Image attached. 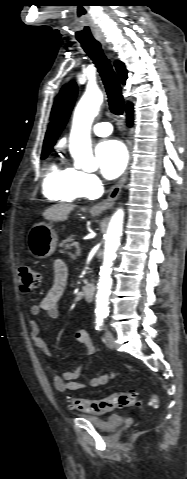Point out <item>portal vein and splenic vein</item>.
Here are the masks:
<instances>
[{
    "instance_id": "18ae733b",
    "label": "portal vein and splenic vein",
    "mask_w": 187,
    "mask_h": 479,
    "mask_svg": "<svg viewBox=\"0 0 187 479\" xmlns=\"http://www.w3.org/2000/svg\"><path fill=\"white\" fill-rule=\"evenodd\" d=\"M75 247H76V249H77L76 255H77V256H80V247H79V244H75Z\"/></svg>"
}]
</instances>
